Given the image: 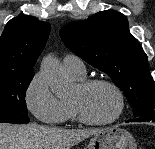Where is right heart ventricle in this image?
<instances>
[{"label": "right heart ventricle", "instance_id": "e07e8e85", "mask_svg": "<svg viewBox=\"0 0 155 149\" xmlns=\"http://www.w3.org/2000/svg\"><path fill=\"white\" fill-rule=\"evenodd\" d=\"M73 76V75H72ZM75 79H77L78 81H82L84 79V77H76L73 76ZM65 107H66V116H65V120H69V121H74L76 116L74 114V111L71 107L70 102H64Z\"/></svg>", "mask_w": 155, "mask_h": 149}]
</instances>
